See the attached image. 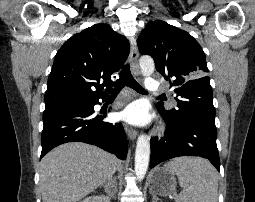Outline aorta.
<instances>
[{"mask_svg":"<svg viewBox=\"0 0 255 202\" xmlns=\"http://www.w3.org/2000/svg\"><path fill=\"white\" fill-rule=\"evenodd\" d=\"M141 74L143 76H150L155 70L154 60L149 56H143L139 59ZM150 142L145 135H140L137 139L135 151V174L139 181H141L147 172L150 160Z\"/></svg>","mask_w":255,"mask_h":202,"instance_id":"762f6f07","label":"aorta"}]
</instances>
